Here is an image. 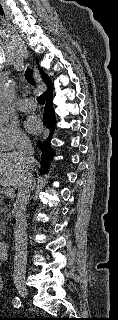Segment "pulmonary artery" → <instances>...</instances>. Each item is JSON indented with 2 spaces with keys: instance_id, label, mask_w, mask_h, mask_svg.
I'll use <instances>...</instances> for the list:
<instances>
[{
  "instance_id": "pulmonary-artery-1",
  "label": "pulmonary artery",
  "mask_w": 118,
  "mask_h": 320,
  "mask_svg": "<svg viewBox=\"0 0 118 320\" xmlns=\"http://www.w3.org/2000/svg\"><path fill=\"white\" fill-rule=\"evenodd\" d=\"M18 107L21 111L29 112L36 108V103L32 99H22L19 101Z\"/></svg>"
}]
</instances>
